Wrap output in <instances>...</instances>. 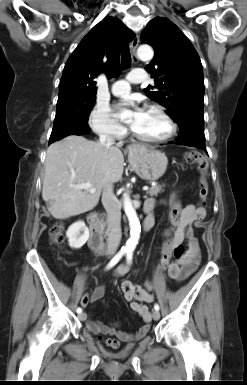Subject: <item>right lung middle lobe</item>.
I'll list each match as a JSON object with an SVG mask.
<instances>
[{"instance_id": "dd1d6c3e", "label": "right lung middle lobe", "mask_w": 247, "mask_h": 385, "mask_svg": "<svg viewBox=\"0 0 247 385\" xmlns=\"http://www.w3.org/2000/svg\"><path fill=\"white\" fill-rule=\"evenodd\" d=\"M96 94H59L52 131L71 126H88V117L95 104Z\"/></svg>"}]
</instances>
